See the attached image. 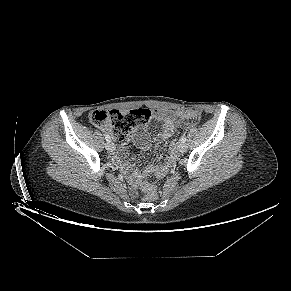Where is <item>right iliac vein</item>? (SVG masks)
I'll return each instance as SVG.
<instances>
[{
    "instance_id": "63e3f726",
    "label": "right iliac vein",
    "mask_w": 291,
    "mask_h": 291,
    "mask_svg": "<svg viewBox=\"0 0 291 291\" xmlns=\"http://www.w3.org/2000/svg\"><path fill=\"white\" fill-rule=\"evenodd\" d=\"M105 147H106V149H107L109 152H112V151H114V149H115L114 144L111 143V142L106 143V144H105Z\"/></svg>"
}]
</instances>
